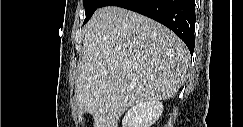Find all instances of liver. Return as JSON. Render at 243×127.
Masks as SVG:
<instances>
[{
	"mask_svg": "<svg viewBox=\"0 0 243 127\" xmlns=\"http://www.w3.org/2000/svg\"><path fill=\"white\" fill-rule=\"evenodd\" d=\"M189 62L186 45L165 26L124 8H99L85 26L79 113L92 114L94 127H116L128 107L173 97Z\"/></svg>",
	"mask_w": 243,
	"mask_h": 127,
	"instance_id": "obj_1",
	"label": "liver"
}]
</instances>
